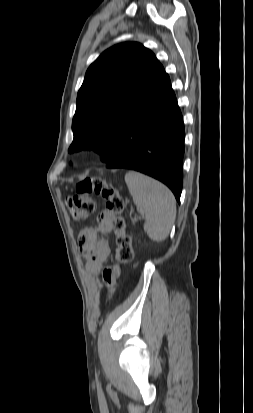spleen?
<instances>
[{
    "label": "spleen",
    "mask_w": 253,
    "mask_h": 413,
    "mask_svg": "<svg viewBox=\"0 0 253 413\" xmlns=\"http://www.w3.org/2000/svg\"><path fill=\"white\" fill-rule=\"evenodd\" d=\"M125 182L138 212L145 215L144 231L153 241L165 240L176 218L172 192L164 184L136 171H128Z\"/></svg>",
    "instance_id": "spleen-1"
}]
</instances>
